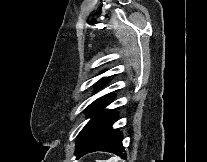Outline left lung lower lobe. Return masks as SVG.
Here are the masks:
<instances>
[{
    "instance_id": "1",
    "label": "left lung lower lobe",
    "mask_w": 207,
    "mask_h": 162,
    "mask_svg": "<svg viewBox=\"0 0 207 162\" xmlns=\"http://www.w3.org/2000/svg\"><path fill=\"white\" fill-rule=\"evenodd\" d=\"M111 101L112 97L104 102L79 133L75 152L77 159L94 151L111 152L126 159V153H123L122 134L112 128L117 114L113 110L104 109Z\"/></svg>"
}]
</instances>
